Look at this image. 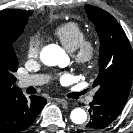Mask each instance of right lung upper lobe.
<instances>
[{"instance_id": "right-lung-upper-lobe-1", "label": "right lung upper lobe", "mask_w": 133, "mask_h": 133, "mask_svg": "<svg viewBox=\"0 0 133 133\" xmlns=\"http://www.w3.org/2000/svg\"><path fill=\"white\" fill-rule=\"evenodd\" d=\"M32 11L18 10V9H5L0 11V29H10L21 21L25 16H30ZM19 90L15 85L1 86L0 85V104L1 102L13 92Z\"/></svg>"}]
</instances>
